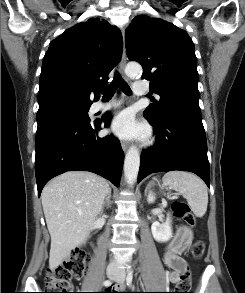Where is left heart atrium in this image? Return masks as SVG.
<instances>
[{"label": "left heart atrium", "mask_w": 245, "mask_h": 293, "mask_svg": "<svg viewBox=\"0 0 245 293\" xmlns=\"http://www.w3.org/2000/svg\"><path fill=\"white\" fill-rule=\"evenodd\" d=\"M110 130L116 136L124 139L141 137L146 134V128L137 124L130 111H124L116 116Z\"/></svg>", "instance_id": "left-heart-atrium-1"}]
</instances>
